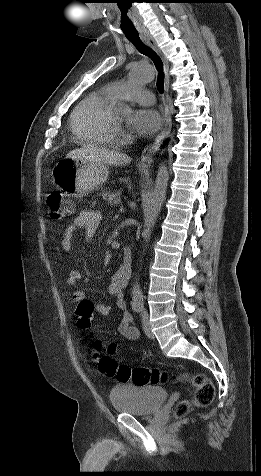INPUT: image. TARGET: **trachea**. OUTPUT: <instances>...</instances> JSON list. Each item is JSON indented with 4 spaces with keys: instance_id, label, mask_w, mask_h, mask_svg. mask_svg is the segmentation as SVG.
<instances>
[{
    "instance_id": "trachea-1",
    "label": "trachea",
    "mask_w": 261,
    "mask_h": 476,
    "mask_svg": "<svg viewBox=\"0 0 261 476\" xmlns=\"http://www.w3.org/2000/svg\"><path fill=\"white\" fill-rule=\"evenodd\" d=\"M127 39L136 47V49L143 55L148 56L153 63L155 64L157 70L159 71L157 79V89L160 93L164 92V73L162 72L163 64L161 58L157 53L151 49L149 46L144 44L140 39L139 35L127 36Z\"/></svg>"
}]
</instances>
